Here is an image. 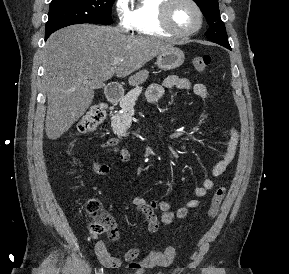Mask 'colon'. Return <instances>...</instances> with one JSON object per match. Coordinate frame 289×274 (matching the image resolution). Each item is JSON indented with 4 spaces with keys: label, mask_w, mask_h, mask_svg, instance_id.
<instances>
[{
    "label": "colon",
    "mask_w": 289,
    "mask_h": 274,
    "mask_svg": "<svg viewBox=\"0 0 289 274\" xmlns=\"http://www.w3.org/2000/svg\"><path fill=\"white\" fill-rule=\"evenodd\" d=\"M192 63L194 69L198 73H204L211 63V57L209 55L197 56L193 58ZM105 119L106 106L103 103L94 104L77 122L76 130L80 134L92 133L105 121ZM225 193L226 188L224 186L217 188L215 191L208 210V215L210 217H214L219 211ZM86 212L91 219L89 232L93 237L103 233L111 236L118 232L115 221L99 200L95 198L89 199L86 202ZM174 258L175 249L173 247H168L164 251L151 252L141 262H130L129 268L141 272L144 269L166 266L170 264Z\"/></svg>",
    "instance_id": "1"
}]
</instances>
